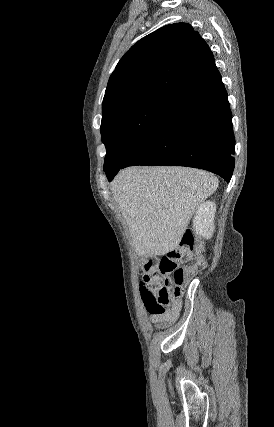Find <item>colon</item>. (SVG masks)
Segmentation results:
<instances>
[{
	"label": "colon",
	"instance_id": "5ec220e1",
	"mask_svg": "<svg viewBox=\"0 0 274 427\" xmlns=\"http://www.w3.org/2000/svg\"><path fill=\"white\" fill-rule=\"evenodd\" d=\"M180 247L163 255H149L141 262L139 271L146 276V281H134L133 289L146 293L143 304L151 315H161L180 296L193 273L205 267L203 245H196L189 230H180Z\"/></svg>",
	"mask_w": 274,
	"mask_h": 427
}]
</instances>
